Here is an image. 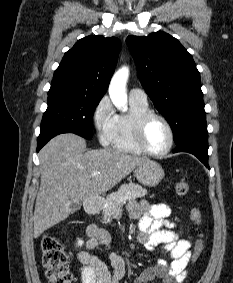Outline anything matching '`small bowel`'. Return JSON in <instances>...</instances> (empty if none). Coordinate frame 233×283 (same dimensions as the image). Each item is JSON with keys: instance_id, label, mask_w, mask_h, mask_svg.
<instances>
[{"instance_id": "obj_1", "label": "small bowel", "mask_w": 233, "mask_h": 283, "mask_svg": "<svg viewBox=\"0 0 233 283\" xmlns=\"http://www.w3.org/2000/svg\"><path fill=\"white\" fill-rule=\"evenodd\" d=\"M130 215L139 219V243L148 251L157 248L161 257L154 265L147 267L137 275L133 283H148L159 279L161 283H183L187 276V266L191 259V242L179 238L174 231L175 224L168 220L170 208L166 204L150 205L140 201L130 205ZM89 240L86 249L106 248L110 235L100 227L91 225L87 229ZM108 257L113 267L110 273L106 264L87 251L77 254L80 262V274L83 283H120L125 275V264L121 256L109 252Z\"/></svg>"}]
</instances>
